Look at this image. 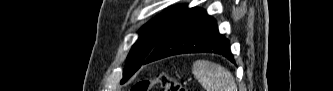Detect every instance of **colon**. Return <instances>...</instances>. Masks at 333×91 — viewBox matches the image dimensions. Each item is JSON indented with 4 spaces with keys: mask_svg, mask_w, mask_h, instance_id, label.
Returning a JSON list of instances; mask_svg holds the SVG:
<instances>
[{
    "mask_svg": "<svg viewBox=\"0 0 333 91\" xmlns=\"http://www.w3.org/2000/svg\"><path fill=\"white\" fill-rule=\"evenodd\" d=\"M154 86H158L162 91H187L184 86L165 73L138 81L133 85L131 91H150Z\"/></svg>",
    "mask_w": 333,
    "mask_h": 91,
    "instance_id": "5ec220e1",
    "label": "colon"
}]
</instances>
